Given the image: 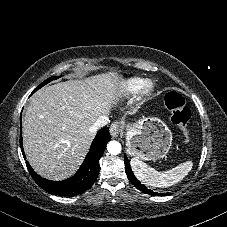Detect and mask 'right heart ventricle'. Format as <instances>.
<instances>
[{
    "label": "right heart ventricle",
    "mask_w": 227,
    "mask_h": 227,
    "mask_svg": "<svg viewBox=\"0 0 227 227\" xmlns=\"http://www.w3.org/2000/svg\"><path fill=\"white\" fill-rule=\"evenodd\" d=\"M141 80L140 79H132L127 83V90L134 92L137 91L141 85Z\"/></svg>",
    "instance_id": "e07e8e85"
}]
</instances>
